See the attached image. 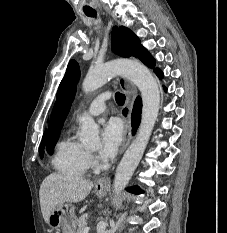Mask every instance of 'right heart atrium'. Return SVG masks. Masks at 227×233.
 Returning a JSON list of instances; mask_svg holds the SVG:
<instances>
[{
	"mask_svg": "<svg viewBox=\"0 0 227 233\" xmlns=\"http://www.w3.org/2000/svg\"><path fill=\"white\" fill-rule=\"evenodd\" d=\"M88 159H89V164H92L94 162V159L90 154H88Z\"/></svg>",
	"mask_w": 227,
	"mask_h": 233,
	"instance_id": "d8ad5b80",
	"label": "right heart atrium"
}]
</instances>
